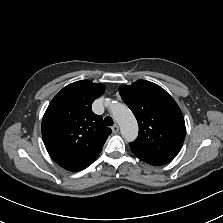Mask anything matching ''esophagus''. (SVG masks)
<instances>
[{"label": "esophagus", "mask_w": 223, "mask_h": 223, "mask_svg": "<svg viewBox=\"0 0 223 223\" xmlns=\"http://www.w3.org/2000/svg\"><path fill=\"white\" fill-rule=\"evenodd\" d=\"M111 130L114 134L118 133L119 131V127H118V124H114L112 127H111Z\"/></svg>", "instance_id": "34e87169"}]
</instances>
